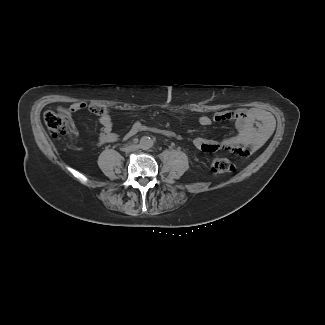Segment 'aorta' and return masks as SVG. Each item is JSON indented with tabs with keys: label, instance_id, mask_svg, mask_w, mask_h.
<instances>
[{
	"label": "aorta",
	"instance_id": "aorta-1",
	"mask_svg": "<svg viewBox=\"0 0 325 325\" xmlns=\"http://www.w3.org/2000/svg\"><path fill=\"white\" fill-rule=\"evenodd\" d=\"M153 140L148 137V136H143L141 139H140V147L142 149H149L153 146Z\"/></svg>",
	"mask_w": 325,
	"mask_h": 325
}]
</instances>
